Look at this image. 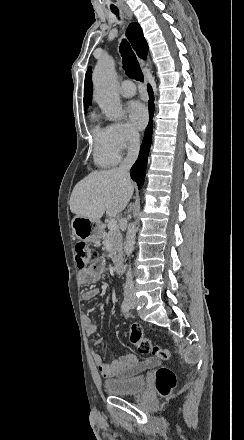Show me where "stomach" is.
Listing matches in <instances>:
<instances>
[{"label":"stomach","instance_id":"0dacf381","mask_svg":"<svg viewBox=\"0 0 244 440\" xmlns=\"http://www.w3.org/2000/svg\"><path fill=\"white\" fill-rule=\"evenodd\" d=\"M72 234L76 236L77 240L82 242H95L98 240L102 232V224L97 220H89V218H82V216H75L71 222Z\"/></svg>","mask_w":244,"mask_h":440}]
</instances>
